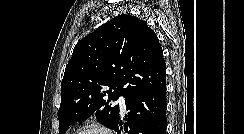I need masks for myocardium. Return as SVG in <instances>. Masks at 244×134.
<instances>
[{"mask_svg": "<svg viewBox=\"0 0 244 134\" xmlns=\"http://www.w3.org/2000/svg\"><path fill=\"white\" fill-rule=\"evenodd\" d=\"M86 131H97L101 134H115L109 126L97 121L85 123L71 134H81Z\"/></svg>", "mask_w": 244, "mask_h": 134, "instance_id": "obj_1", "label": "myocardium"}]
</instances>
